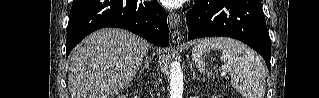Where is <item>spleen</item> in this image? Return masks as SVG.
I'll use <instances>...</instances> for the list:
<instances>
[{
    "mask_svg": "<svg viewBox=\"0 0 319 98\" xmlns=\"http://www.w3.org/2000/svg\"><path fill=\"white\" fill-rule=\"evenodd\" d=\"M215 49L222 52L220 58L224 62V70L230 74L234 88L245 98H264L266 72L259 55L231 38L200 39L192 50V57L200 71H206L203 56Z\"/></svg>",
    "mask_w": 319,
    "mask_h": 98,
    "instance_id": "spleen-1",
    "label": "spleen"
}]
</instances>
